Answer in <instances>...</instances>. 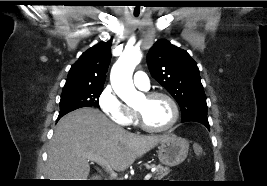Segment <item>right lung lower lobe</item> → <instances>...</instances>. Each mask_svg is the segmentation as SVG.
Returning <instances> with one entry per match:
<instances>
[{
  "label": "right lung lower lobe",
  "instance_id": "right-lung-lower-lobe-1",
  "mask_svg": "<svg viewBox=\"0 0 267 186\" xmlns=\"http://www.w3.org/2000/svg\"><path fill=\"white\" fill-rule=\"evenodd\" d=\"M64 115H65V114H64ZM62 116H63L62 114H61V115H59L57 120H59V119H60Z\"/></svg>",
  "mask_w": 267,
  "mask_h": 186
}]
</instances>
